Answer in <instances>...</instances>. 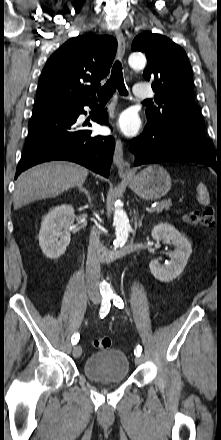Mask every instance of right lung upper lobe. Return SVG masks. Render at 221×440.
<instances>
[{
    "label": "right lung upper lobe",
    "instance_id": "1",
    "mask_svg": "<svg viewBox=\"0 0 221 440\" xmlns=\"http://www.w3.org/2000/svg\"><path fill=\"white\" fill-rule=\"evenodd\" d=\"M116 50V39L107 35L66 41L43 68L33 112L96 100L95 88L108 75Z\"/></svg>",
    "mask_w": 221,
    "mask_h": 440
}]
</instances>
